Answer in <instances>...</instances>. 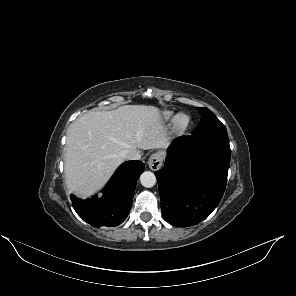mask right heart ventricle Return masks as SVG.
<instances>
[{
	"label": "right heart ventricle",
	"instance_id": "1",
	"mask_svg": "<svg viewBox=\"0 0 296 296\" xmlns=\"http://www.w3.org/2000/svg\"><path fill=\"white\" fill-rule=\"evenodd\" d=\"M174 117L173 111H164L162 114V119L164 121H170Z\"/></svg>",
	"mask_w": 296,
	"mask_h": 296
}]
</instances>
